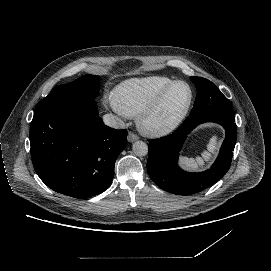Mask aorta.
Segmentation results:
<instances>
[{
	"instance_id": "762f6f07",
	"label": "aorta",
	"mask_w": 271,
	"mask_h": 271,
	"mask_svg": "<svg viewBox=\"0 0 271 271\" xmlns=\"http://www.w3.org/2000/svg\"><path fill=\"white\" fill-rule=\"evenodd\" d=\"M133 153L139 157L146 156L148 154L147 144L143 141H136L133 144Z\"/></svg>"
}]
</instances>
